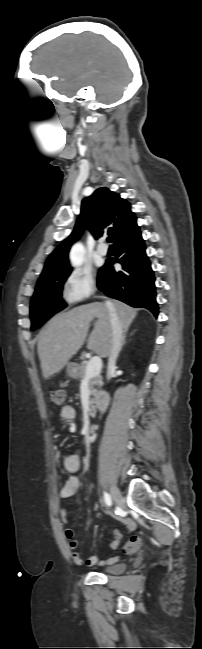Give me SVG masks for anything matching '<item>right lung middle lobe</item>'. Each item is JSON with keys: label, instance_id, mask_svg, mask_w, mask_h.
<instances>
[{"label": "right lung middle lobe", "instance_id": "right-lung-middle-lobe-1", "mask_svg": "<svg viewBox=\"0 0 202 649\" xmlns=\"http://www.w3.org/2000/svg\"><path fill=\"white\" fill-rule=\"evenodd\" d=\"M71 270L39 278L35 293L31 299L30 318L31 330L38 329L55 313L66 307L61 299L64 282Z\"/></svg>", "mask_w": 202, "mask_h": 649}]
</instances>
